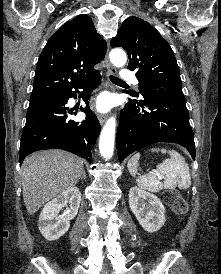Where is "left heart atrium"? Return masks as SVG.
I'll list each match as a JSON object with an SVG mask.
<instances>
[{
	"instance_id": "left-heart-atrium-1",
	"label": "left heart atrium",
	"mask_w": 221,
	"mask_h": 274,
	"mask_svg": "<svg viewBox=\"0 0 221 274\" xmlns=\"http://www.w3.org/2000/svg\"><path fill=\"white\" fill-rule=\"evenodd\" d=\"M111 106V101L108 96H102L97 101V109L101 112L107 111Z\"/></svg>"
}]
</instances>
